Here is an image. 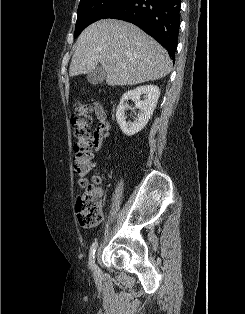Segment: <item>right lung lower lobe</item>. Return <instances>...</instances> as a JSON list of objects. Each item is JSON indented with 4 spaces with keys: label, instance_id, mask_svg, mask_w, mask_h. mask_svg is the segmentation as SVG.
Instances as JSON below:
<instances>
[{
    "label": "right lung lower lobe",
    "instance_id": "98d812e1",
    "mask_svg": "<svg viewBox=\"0 0 245 314\" xmlns=\"http://www.w3.org/2000/svg\"><path fill=\"white\" fill-rule=\"evenodd\" d=\"M180 0H128L103 18L131 22L162 46L174 60L180 25Z\"/></svg>",
    "mask_w": 245,
    "mask_h": 314
}]
</instances>
